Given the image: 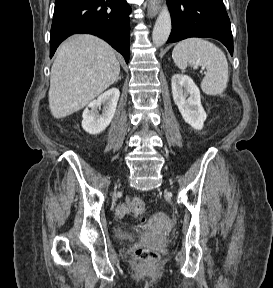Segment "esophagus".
<instances>
[{"label":"esophagus","instance_id":"obj_1","mask_svg":"<svg viewBox=\"0 0 273 288\" xmlns=\"http://www.w3.org/2000/svg\"><path fill=\"white\" fill-rule=\"evenodd\" d=\"M160 10V0H148V15L154 17Z\"/></svg>","mask_w":273,"mask_h":288}]
</instances>
